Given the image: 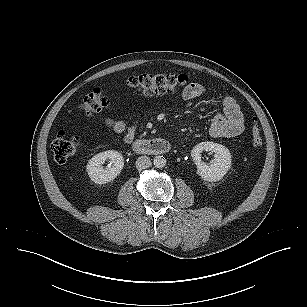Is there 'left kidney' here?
Here are the masks:
<instances>
[{"label": "left kidney", "mask_w": 307, "mask_h": 307, "mask_svg": "<svg viewBox=\"0 0 307 307\" xmlns=\"http://www.w3.org/2000/svg\"><path fill=\"white\" fill-rule=\"evenodd\" d=\"M211 151L215 153V158L210 164L201 161V153ZM193 161L197 165V173L204 180L216 182L223 178L231 167L230 151L223 145L214 142H201L191 151Z\"/></svg>", "instance_id": "left-kidney-1"}]
</instances>
